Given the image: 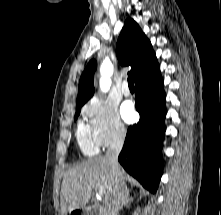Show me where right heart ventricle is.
<instances>
[{"instance_id":"e07e8e85","label":"right heart ventricle","mask_w":221,"mask_h":215,"mask_svg":"<svg viewBox=\"0 0 221 215\" xmlns=\"http://www.w3.org/2000/svg\"><path fill=\"white\" fill-rule=\"evenodd\" d=\"M77 141L81 151L86 155L98 152V144L93 139L88 126L80 124L77 130Z\"/></svg>"}]
</instances>
